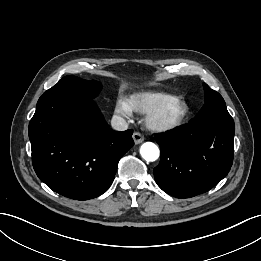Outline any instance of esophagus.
I'll use <instances>...</instances> for the list:
<instances>
[{"instance_id":"34e87169","label":"esophagus","mask_w":261,"mask_h":261,"mask_svg":"<svg viewBox=\"0 0 261 261\" xmlns=\"http://www.w3.org/2000/svg\"><path fill=\"white\" fill-rule=\"evenodd\" d=\"M132 138H133L135 144H140L144 141L143 135L139 132H134L132 135Z\"/></svg>"}]
</instances>
